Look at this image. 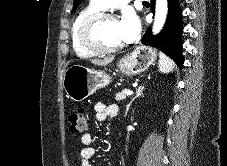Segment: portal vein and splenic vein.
Segmentation results:
<instances>
[{"label":"portal vein and splenic vein","instance_id":"portal-vein-and-splenic-vein-1","mask_svg":"<svg viewBox=\"0 0 227 166\" xmlns=\"http://www.w3.org/2000/svg\"><path fill=\"white\" fill-rule=\"evenodd\" d=\"M132 94H133V91H132V90H129V91H127V93H126L127 96H130V95H132Z\"/></svg>","mask_w":227,"mask_h":166}]
</instances>
